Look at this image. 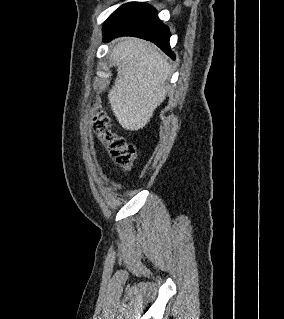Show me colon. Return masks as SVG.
Segmentation results:
<instances>
[{
	"label": "colon",
	"mask_w": 284,
	"mask_h": 319,
	"mask_svg": "<svg viewBox=\"0 0 284 319\" xmlns=\"http://www.w3.org/2000/svg\"><path fill=\"white\" fill-rule=\"evenodd\" d=\"M92 128L113 163L124 171L130 170L136 158L135 147L112 131L110 121L105 116H95L92 119Z\"/></svg>",
	"instance_id": "1"
}]
</instances>
